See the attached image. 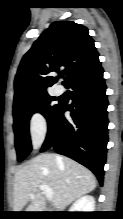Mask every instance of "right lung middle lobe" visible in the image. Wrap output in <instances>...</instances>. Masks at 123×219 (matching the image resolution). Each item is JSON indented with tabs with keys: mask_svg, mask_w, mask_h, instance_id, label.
<instances>
[{
	"mask_svg": "<svg viewBox=\"0 0 123 219\" xmlns=\"http://www.w3.org/2000/svg\"><path fill=\"white\" fill-rule=\"evenodd\" d=\"M53 101H55V97H51L48 93H44L13 105V128L18 161H22L32 149L29 135V120L32 114L40 112L49 123L59 107V104L53 105Z\"/></svg>",
	"mask_w": 123,
	"mask_h": 219,
	"instance_id": "obj_1",
	"label": "right lung middle lobe"
}]
</instances>
